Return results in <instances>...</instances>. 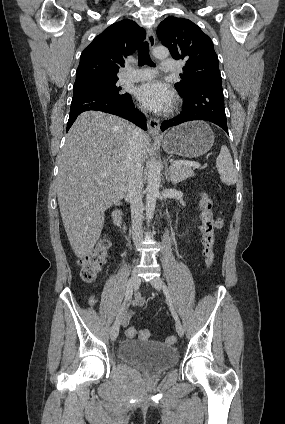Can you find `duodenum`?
<instances>
[{
	"label": "duodenum",
	"mask_w": 285,
	"mask_h": 424,
	"mask_svg": "<svg viewBox=\"0 0 285 424\" xmlns=\"http://www.w3.org/2000/svg\"><path fill=\"white\" fill-rule=\"evenodd\" d=\"M112 218L116 226L122 229L125 227V221H124L123 212L121 209H116L112 214Z\"/></svg>",
	"instance_id": "duodenum-1"
}]
</instances>
